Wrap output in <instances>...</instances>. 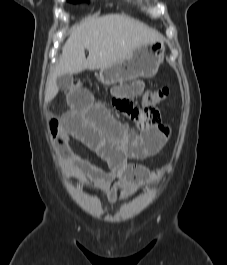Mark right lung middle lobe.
Returning a JSON list of instances; mask_svg holds the SVG:
<instances>
[{"label": "right lung middle lobe", "mask_w": 227, "mask_h": 265, "mask_svg": "<svg viewBox=\"0 0 227 265\" xmlns=\"http://www.w3.org/2000/svg\"><path fill=\"white\" fill-rule=\"evenodd\" d=\"M70 2H79L81 0H69Z\"/></svg>", "instance_id": "obj_1"}]
</instances>
